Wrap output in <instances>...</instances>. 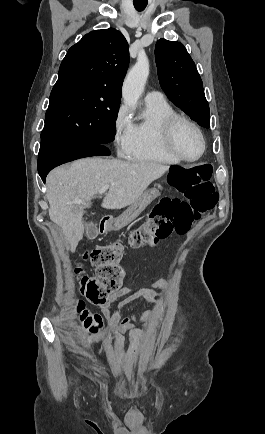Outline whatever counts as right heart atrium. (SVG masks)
Masks as SVG:
<instances>
[{"label":"right heart atrium","mask_w":265,"mask_h":434,"mask_svg":"<svg viewBox=\"0 0 265 434\" xmlns=\"http://www.w3.org/2000/svg\"><path fill=\"white\" fill-rule=\"evenodd\" d=\"M118 113L120 115H116L114 118L116 125L114 132L111 133V140L115 141V153L120 159H125L127 154H132L133 151L132 145H130L132 142L130 135L135 126L131 122L129 106H120Z\"/></svg>","instance_id":"1"}]
</instances>
